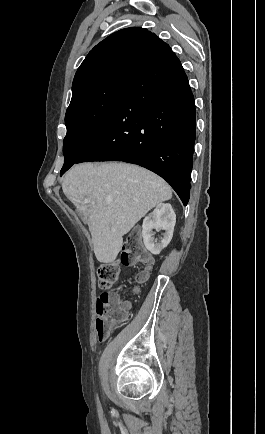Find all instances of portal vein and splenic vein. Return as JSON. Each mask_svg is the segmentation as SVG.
<instances>
[{"instance_id": "1", "label": "portal vein and splenic vein", "mask_w": 265, "mask_h": 434, "mask_svg": "<svg viewBox=\"0 0 265 434\" xmlns=\"http://www.w3.org/2000/svg\"><path fill=\"white\" fill-rule=\"evenodd\" d=\"M84 202H89V204H95V202H91V200H84Z\"/></svg>"}]
</instances>
